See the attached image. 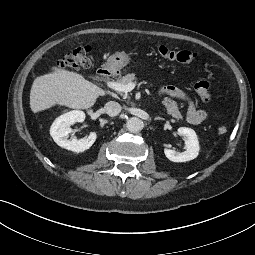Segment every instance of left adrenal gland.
<instances>
[{"mask_svg": "<svg viewBox=\"0 0 255 255\" xmlns=\"http://www.w3.org/2000/svg\"><path fill=\"white\" fill-rule=\"evenodd\" d=\"M154 120H165V119L161 117H155Z\"/></svg>", "mask_w": 255, "mask_h": 255, "instance_id": "obj_1", "label": "left adrenal gland"}]
</instances>
